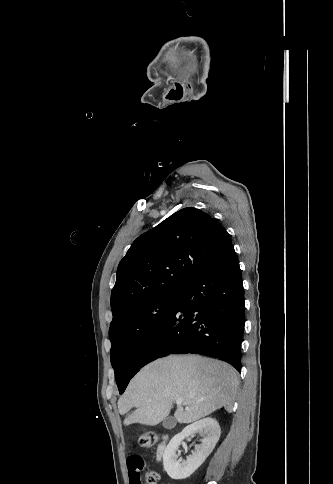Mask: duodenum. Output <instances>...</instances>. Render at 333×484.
<instances>
[{"instance_id": "410a0bca", "label": "duodenum", "mask_w": 333, "mask_h": 484, "mask_svg": "<svg viewBox=\"0 0 333 484\" xmlns=\"http://www.w3.org/2000/svg\"><path fill=\"white\" fill-rule=\"evenodd\" d=\"M159 450H160V452H162V447H160V449H159Z\"/></svg>"}]
</instances>
